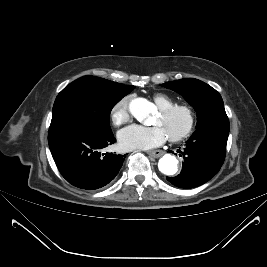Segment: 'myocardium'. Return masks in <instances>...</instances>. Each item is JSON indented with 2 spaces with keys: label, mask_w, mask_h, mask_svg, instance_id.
<instances>
[{
  "label": "myocardium",
  "mask_w": 267,
  "mask_h": 267,
  "mask_svg": "<svg viewBox=\"0 0 267 267\" xmlns=\"http://www.w3.org/2000/svg\"><path fill=\"white\" fill-rule=\"evenodd\" d=\"M160 114L163 117H169L176 112H183L186 115L187 123L185 128L178 134L168 136L171 142H180L186 139L194 130L196 117L194 110L185 104H173L169 107L160 109Z\"/></svg>",
  "instance_id": "1"
}]
</instances>
